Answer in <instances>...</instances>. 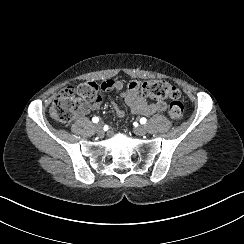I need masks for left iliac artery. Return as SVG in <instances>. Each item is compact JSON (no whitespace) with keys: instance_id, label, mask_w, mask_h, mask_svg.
I'll list each match as a JSON object with an SVG mask.
<instances>
[{"instance_id":"obj_1","label":"left iliac artery","mask_w":244,"mask_h":244,"mask_svg":"<svg viewBox=\"0 0 244 244\" xmlns=\"http://www.w3.org/2000/svg\"><path fill=\"white\" fill-rule=\"evenodd\" d=\"M146 121H147V119H146V118H144V117L140 119V123H141V124H145V123H146Z\"/></svg>"}]
</instances>
